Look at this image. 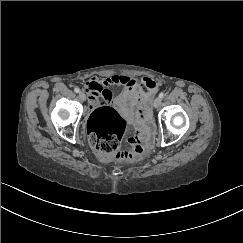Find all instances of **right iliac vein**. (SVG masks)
<instances>
[{"label":"right iliac vein","instance_id":"obj_1","mask_svg":"<svg viewBox=\"0 0 243 243\" xmlns=\"http://www.w3.org/2000/svg\"><path fill=\"white\" fill-rule=\"evenodd\" d=\"M79 97L82 101H85L86 100V95L83 93V92H80L79 93Z\"/></svg>","mask_w":243,"mask_h":243}]
</instances>
